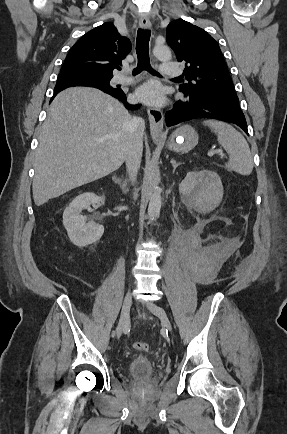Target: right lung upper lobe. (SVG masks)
Segmentation results:
<instances>
[{
    "label": "right lung upper lobe",
    "instance_id": "obj_1",
    "mask_svg": "<svg viewBox=\"0 0 287 434\" xmlns=\"http://www.w3.org/2000/svg\"><path fill=\"white\" fill-rule=\"evenodd\" d=\"M131 50V42L121 36L116 27L108 22L83 35L69 51L61 71H89L101 75H112L122 59ZM62 86H89L77 81L57 82ZM103 89V88H102Z\"/></svg>",
    "mask_w": 287,
    "mask_h": 434
}]
</instances>
